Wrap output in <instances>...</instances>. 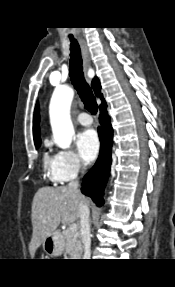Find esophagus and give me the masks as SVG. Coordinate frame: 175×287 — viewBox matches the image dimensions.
<instances>
[{
    "instance_id": "obj_1",
    "label": "esophagus",
    "mask_w": 175,
    "mask_h": 287,
    "mask_svg": "<svg viewBox=\"0 0 175 287\" xmlns=\"http://www.w3.org/2000/svg\"><path fill=\"white\" fill-rule=\"evenodd\" d=\"M79 44H80L81 53H82L83 72H84L86 81L88 83H90L92 77L94 76V72H89L90 55H89L88 47H87L85 41L81 38H79Z\"/></svg>"
}]
</instances>
